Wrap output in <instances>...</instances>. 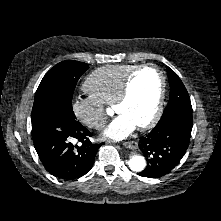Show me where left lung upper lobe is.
Returning a JSON list of instances; mask_svg holds the SVG:
<instances>
[{
	"label": "left lung upper lobe",
	"mask_w": 221,
	"mask_h": 221,
	"mask_svg": "<svg viewBox=\"0 0 221 221\" xmlns=\"http://www.w3.org/2000/svg\"><path fill=\"white\" fill-rule=\"evenodd\" d=\"M168 80L170 83V99L164 112L180 106H191L190 97L178 75L169 67H167Z\"/></svg>",
	"instance_id": "left-lung-upper-lobe-1"
}]
</instances>
